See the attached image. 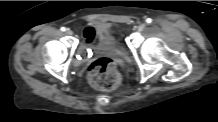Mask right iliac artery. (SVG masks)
Returning a JSON list of instances; mask_svg holds the SVG:
<instances>
[{
    "label": "right iliac artery",
    "instance_id": "82829eb1",
    "mask_svg": "<svg viewBox=\"0 0 218 122\" xmlns=\"http://www.w3.org/2000/svg\"><path fill=\"white\" fill-rule=\"evenodd\" d=\"M61 31H65L66 30V28L65 27H61V29H60Z\"/></svg>",
    "mask_w": 218,
    "mask_h": 122
}]
</instances>
